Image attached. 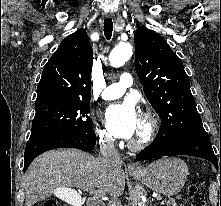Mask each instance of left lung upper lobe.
<instances>
[{
  "label": "left lung upper lobe",
  "instance_id": "left-lung-upper-lobe-1",
  "mask_svg": "<svg viewBox=\"0 0 221 206\" xmlns=\"http://www.w3.org/2000/svg\"><path fill=\"white\" fill-rule=\"evenodd\" d=\"M134 42L136 73L148 101L161 118L154 141L184 136L208 137L180 58L162 36L146 27L135 31Z\"/></svg>",
  "mask_w": 221,
  "mask_h": 206
}]
</instances>
